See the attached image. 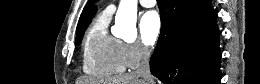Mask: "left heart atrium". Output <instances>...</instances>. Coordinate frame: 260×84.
Masks as SVG:
<instances>
[{"label":"left heart atrium","mask_w":260,"mask_h":84,"mask_svg":"<svg viewBox=\"0 0 260 84\" xmlns=\"http://www.w3.org/2000/svg\"><path fill=\"white\" fill-rule=\"evenodd\" d=\"M161 21L156 11L145 12L139 23V30L142 42L147 45H153L159 35Z\"/></svg>","instance_id":"1"}]
</instances>
